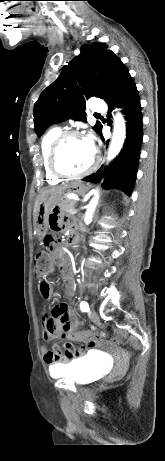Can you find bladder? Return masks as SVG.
Wrapping results in <instances>:
<instances>
[{
  "label": "bladder",
  "mask_w": 165,
  "mask_h": 461,
  "mask_svg": "<svg viewBox=\"0 0 165 461\" xmlns=\"http://www.w3.org/2000/svg\"><path fill=\"white\" fill-rule=\"evenodd\" d=\"M104 373L102 359L95 355H87L62 367L59 376L71 380L76 385H86L99 379Z\"/></svg>",
  "instance_id": "31cf9c89"
}]
</instances>
